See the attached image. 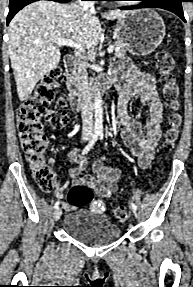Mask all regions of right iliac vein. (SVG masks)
Segmentation results:
<instances>
[{
	"label": "right iliac vein",
	"instance_id": "right-iliac-vein-1",
	"mask_svg": "<svg viewBox=\"0 0 193 287\" xmlns=\"http://www.w3.org/2000/svg\"><path fill=\"white\" fill-rule=\"evenodd\" d=\"M61 215H62V209L60 207H57L53 213L54 220L55 221L59 220Z\"/></svg>",
	"mask_w": 193,
	"mask_h": 287
}]
</instances>
